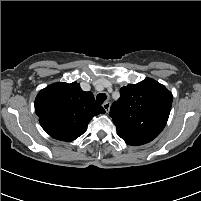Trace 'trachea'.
<instances>
[{"mask_svg": "<svg viewBox=\"0 0 201 201\" xmlns=\"http://www.w3.org/2000/svg\"><path fill=\"white\" fill-rule=\"evenodd\" d=\"M107 99V95L105 93H100L96 96V100L99 104H103V102Z\"/></svg>", "mask_w": 201, "mask_h": 201, "instance_id": "trachea-1", "label": "trachea"}]
</instances>
